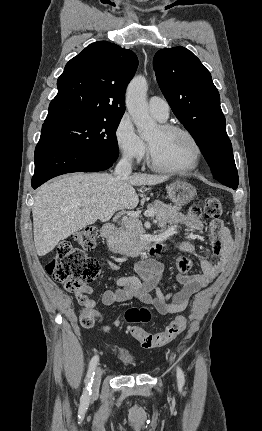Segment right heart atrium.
Here are the masks:
<instances>
[{"instance_id": "obj_1", "label": "right heart atrium", "mask_w": 262, "mask_h": 431, "mask_svg": "<svg viewBox=\"0 0 262 431\" xmlns=\"http://www.w3.org/2000/svg\"><path fill=\"white\" fill-rule=\"evenodd\" d=\"M114 135L118 149L124 158L130 161H139L145 156L146 144L137 134L128 116L124 115L120 118Z\"/></svg>"}]
</instances>
